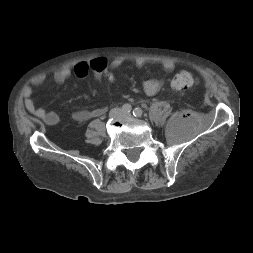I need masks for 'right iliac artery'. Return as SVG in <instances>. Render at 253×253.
Here are the masks:
<instances>
[{"label":"right iliac artery","mask_w":253,"mask_h":253,"mask_svg":"<svg viewBox=\"0 0 253 253\" xmlns=\"http://www.w3.org/2000/svg\"><path fill=\"white\" fill-rule=\"evenodd\" d=\"M122 110L125 112V113H130L132 111V107L130 104H124L122 106Z\"/></svg>","instance_id":"right-iliac-artery-1"}]
</instances>
